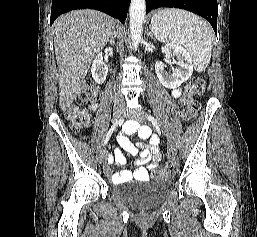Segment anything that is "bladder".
Wrapping results in <instances>:
<instances>
[{
    "instance_id": "1",
    "label": "bladder",
    "mask_w": 257,
    "mask_h": 237,
    "mask_svg": "<svg viewBox=\"0 0 257 237\" xmlns=\"http://www.w3.org/2000/svg\"><path fill=\"white\" fill-rule=\"evenodd\" d=\"M142 183L143 187L129 189L121 195L122 201L134 210H151L158 207L172 189L171 180L143 181Z\"/></svg>"
}]
</instances>
